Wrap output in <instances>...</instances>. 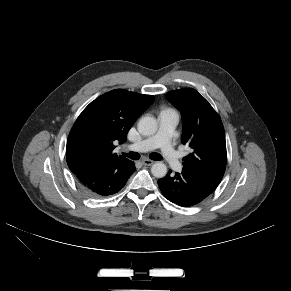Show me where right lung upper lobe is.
Instances as JSON below:
<instances>
[{"mask_svg":"<svg viewBox=\"0 0 291 291\" xmlns=\"http://www.w3.org/2000/svg\"><path fill=\"white\" fill-rule=\"evenodd\" d=\"M154 97L122 89L107 92L92 101L79 115L67 140L66 159L73 173L97 161L124 160L113 152L123 143L137 118Z\"/></svg>","mask_w":291,"mask_h":291,"instance_id":"obj_1","label":"right lung upper lobe"}]
</instances>
